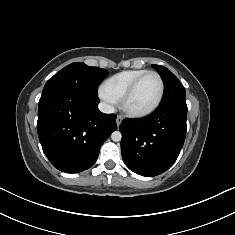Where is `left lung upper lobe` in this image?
I'll list each match as a JSON object with an SVG mask.
<instances>
[{
    "instance_id": "obj_1",
    "label": "left lung upper lobe",
    "mask_w": 235,
    "mask_h": 235,
    "mask_svg": "<svg viewBox=\"0 0 235 235\" xmlns=\"http://www.w3.org/2000/svg\"><path fill=\"white\" fill-rule=\"evenodd\" d=\"M152 67L159 72L164 82L165 94L161 103L176 99H186V92L182 84L170 70L161 65H152Z\"/></svg>"
}]
</instances>
